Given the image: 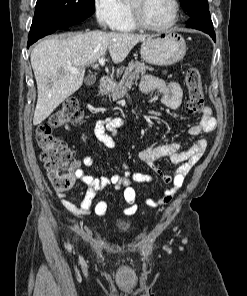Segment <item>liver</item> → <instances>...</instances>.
Returning <instances> with one entry per match:
<instances>
[{"mask_svg": "<svg viewBox=\"0 0 247 296\" xmlns=\"http://www.w3.org/2000/svg\"><path fill=\"white\" fill-rule=\"evenodd\" d=\"M146 35L89 31L68 37L48 38L31 52L38 99L33 124L42 123L65 99L83 84L86 65L103 57L108 49L113 63L124 61ZM70 68L79 71L72 73Z\"/></svg>", "mask_w": 247, "mask_h": 296, "instance_id": "obj_1", "label": "liver"}]
</instances>
